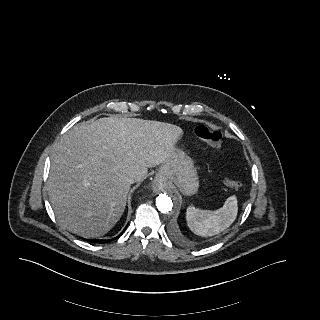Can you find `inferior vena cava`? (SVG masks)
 I'll list each match as a JSON object with an SVG mask.
<instances>
[{
	"label": "inferior vena cava",
	"instance_id": "602c4592",
	"mask_svg": "<svg viewBox=\"0 0 320 320\" xmlns=\"http://www.w3.org/2000/svg\"><path fill=\"white\" fill-rule=\"evenodd\" d=\"M127 180L130 184H132L135 181V176L130 175Z\"/></svg>",
	"mask_w": 320,
	"mask_h": 320
}]
</instances>
